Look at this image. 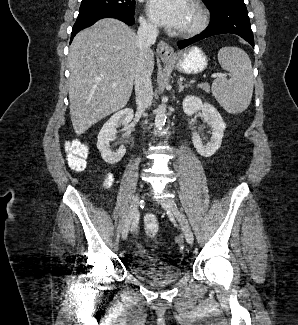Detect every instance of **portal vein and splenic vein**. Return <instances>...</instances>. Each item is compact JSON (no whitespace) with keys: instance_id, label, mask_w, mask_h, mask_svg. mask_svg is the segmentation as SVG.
<instances>
[{"instance_id":"obj_1","label":"portal vein and splenic vein","mask_w":298,"mask_h":325,"mask_svg":"<svg viewBox=\"0 0 298 325\" xmlns=\"http://www.w3.org/2000/svg\"><path fill=\"white\" fill-rule=\"evenodd\" d=\"M211 76H213V78H214V76H221V74H220V72H217V74H211ZM113 84H118V80H117V82H113Z\"/></svg>"}]
</instances>
